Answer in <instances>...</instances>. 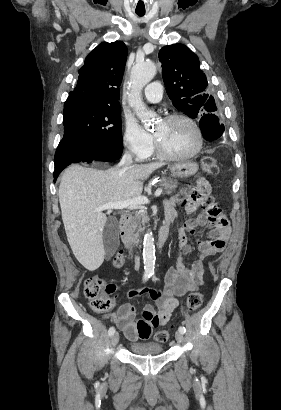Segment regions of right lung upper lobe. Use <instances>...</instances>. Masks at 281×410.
Here are the masks:
<instances>
[{"label":"right lung upper lobe","mask_w":281,"mask_h":410,"mask_svg":"<svg viewBox=\"0 0 281 410\" xmlns=\"http://www.w3.org/2000/svg\"><path fill=\"white\" fill-rule=\"evenodd\" d=\"M127 53V47L121 41L99 44L78 71L77 85L69 93L64 106L86 104L119 107V86Z\"/></svg>","instance_id":"right-lung-upper-lobe-1"}]
</instances>
